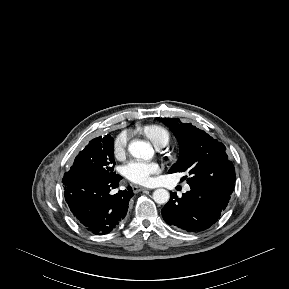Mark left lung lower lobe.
I'll use <instances>...</instances> for the list:
<instances>
[{
	"label": "left lung lower lobe",
	"mask_w": 289,
	"mask_h": 289,
	"mask_svg": "<svg viewBox=\"0 0 289 289\" xmlns=\"http://www.w3.org/2000/svg\"><path fill=\"white\" fill-rule=\"evenodd\" d=\"M191 190L178 198L175 192L162 209L165 222L188 232L203 231L213 225L227 207L230 196L203 187Z\"/></svg>",
	"instance_id": "obj_1"
}]
</instances>
